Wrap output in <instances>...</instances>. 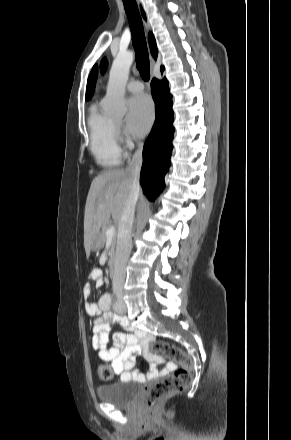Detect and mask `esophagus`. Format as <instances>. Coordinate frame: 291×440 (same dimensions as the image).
Here are the masks:
<instances>
[{"mask_svg":"<svg viewBox=\"0 0 291 440\" xmlns=\"http://www.w3.org/2000/svg\"><path fill=\"white\" fill-rule=\"evenodd\" d=\"M137 6H138V10H139V13H140V16H141L144 28H145L146 31H148L149 28H150V24H149V21H148L147 13H146L143 5L139 2V0H137Z\"/></svg>","mask_w":291,"mask_h":440,"instance_id":"1","label":"esophagus"}]
</instances>
